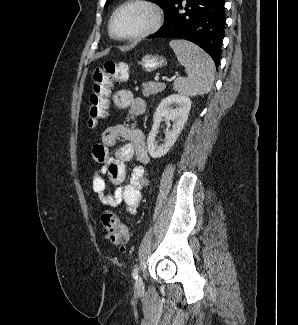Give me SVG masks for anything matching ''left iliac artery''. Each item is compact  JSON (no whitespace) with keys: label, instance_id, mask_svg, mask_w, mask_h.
I'll return each instance as SVG.
<instances>
[{"label":"left iliac artery","instance_id":"1","mask_svg":"<svg viewBox=\"0 0 298 325\" xmlns=\"http://www.w3.org/2000/svg\"><path fill=\"white\" fill-rule=\"evenodd\" d=\"M132 277H133V279H137V277H138V266L137 265H135V267L132 271Z\"/></svg>","mask_w":298,"mask_h":325}]
</instances>
